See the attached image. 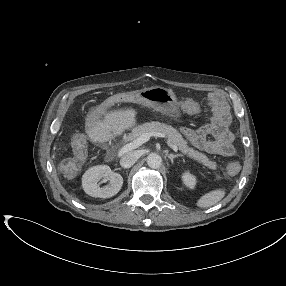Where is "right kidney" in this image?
<instances>
[{
    "instance_id": "1",
    "label": "right kidney",
    "mask_w": 286,
    "mask_h": 286,
    "mask_svg": "<svg viewBox=\"0 0 286 286\" xmlns=\"http://www.w3.org/2000/svg\"><path fill=\"white\" fill-rule=\"evenodd\" d=\"M109 181V184L100 187L99 181ZM123 185V178L120 174L113 172L107 165H97L89 168L82 177L84 191L99 198H110L116 195Z\"/></svg>"
}]
</instances>
